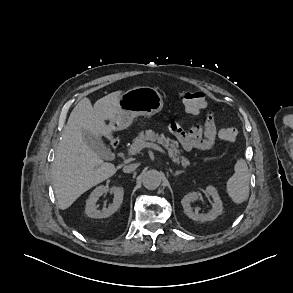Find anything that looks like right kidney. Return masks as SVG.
I'll use <instances>...</instances> for the list:
<instances>
[{
    "mask_svg": "<svg viewBox=\"0 0 293 293\" xmlns=\"http://www.w3.org/2000/svg\"><path fill=\"white\" fill-rule=\"evenodd\" d=\"M109 190L114 194L113 203L110 204L108 208L98 210L96 206L97 201L103 194L107 193ZM123 196L124 190L122 187L108 188L103 185L98 186L92 191L90 197L87 199L85 212L91 218H107L119 209L123 201Z\"/></svg>",
    "mask_w": 293,
    "mask_h": 293,
    "instance_id": "obj_1",
    "label": "right kidney"
}]
</instances>
